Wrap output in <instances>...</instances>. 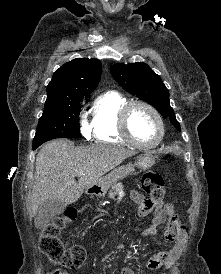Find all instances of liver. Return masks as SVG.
Listing matches in <instances>:
<instances>
[{
	"instance_id": "obj_1",
	"label": "liver",
	"mask_w": 221,
	"mask_h": 274,
	"mask_svg": "<svg viewBox=\"0 0 221 274\" xmlns=\"http://www.w3.org/2000/svg\"><path fill=\"white\" fill-rule=\"evenodd\" d=\"M133 155V150L104 144L75 147L63 139L46 143L36 157L30 216H36L46 200L62 201L66 205L76 202L84 189L98 183L104 174ZM79 171L83 175L76 182Z\"/></svg>"
}]
</instances>
